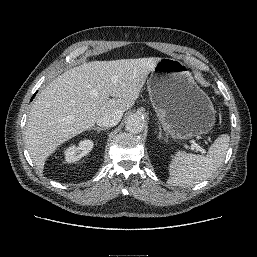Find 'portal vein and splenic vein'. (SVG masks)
<instances>
[{"mask_svg":"<svg viewBox=\"0 0 257 257\" xmlns=\"http://www.w3.org/2000/svg\"><path fill=\"white\" fill-rule=\"evenodd\" d=\"M191 149L194 150L196 149L197 151L201 152V153H206V151L200 147L196 142L191 141Z\"/></svg>","mask_w":257,"mask_h":257,"instance_id":"18ae733b","label":"portal vein and splenic vein"}]
</instances>
